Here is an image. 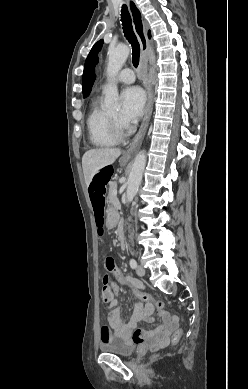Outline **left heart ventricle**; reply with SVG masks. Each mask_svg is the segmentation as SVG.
Returning a JSON list of instances; mask_svg holds the SVG:
<instances>
[{
    "instance_id": "obj_1",
    "label": "left heart ventricle",
    "mask_w": 248,
    "mask_h": 389,
    "mask_svg": "<svg viewBox=\"0 0 248 389\" xmlns=\"http://www.w3.org/2000/svg\"><path fill=\"white\" fill-rule=\"evenodd\" d=\"M110 115L114 118H117L118 117V111H115V112H111Z\"/></svg>"
}]
</instances>
